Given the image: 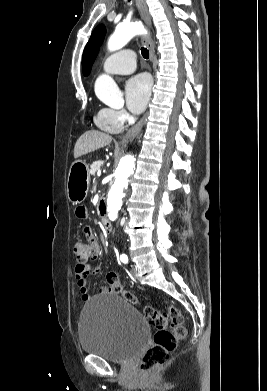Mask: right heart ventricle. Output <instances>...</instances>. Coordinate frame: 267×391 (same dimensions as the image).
I'll use <instances>...</instances> for the list:
<instances>
[{"label": "right heart ventricle", "instance_id": "right-heart-ventricle-1", "mask_svg": "<svg viewBox=\"0 0 267 391\" xmlns=\"http://www.w3.org/2000/svg\"><path fill=\"white\" fill-rule=\"evenodd\" d=\"M94 121L101 130L106 131L108 133H117L121 129V126L115 124L110 120L107 109H100L96 113Z\"/></svg>", "mask_w": 267, "mask_h": 391}]
</instances>
